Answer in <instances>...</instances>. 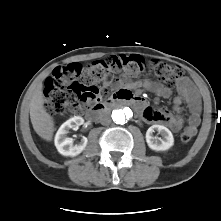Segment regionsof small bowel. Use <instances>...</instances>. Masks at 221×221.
<instances>
[{
	"instance_id": "1",
	"label": "small bowel",
	"mask_w": 221,
	"mask_h": 221,
	"mask_svg": "<svg viewBox=\"0 0 221 221\" xmlns=\"http://www.w3.org/2000/svg\"><path fill=\"white\" fill-rule=\"evenodd\" d=\"M106 87H116L126 84L123 79H116L109 76L104 82ZM142 85L159 97H168L171 90L160 84L145 80ZM185 102L189 110L187 120L181 114V104ZM142 116L147 122H161L166 124L174 132H190L194 135L197 132L201 120V100L198 91L189 79L183 78L178 85V96L173 101L174 114L169 113L165 109L156 110L146 104L142 106Z\"/></svg>"
}]
</instances>
